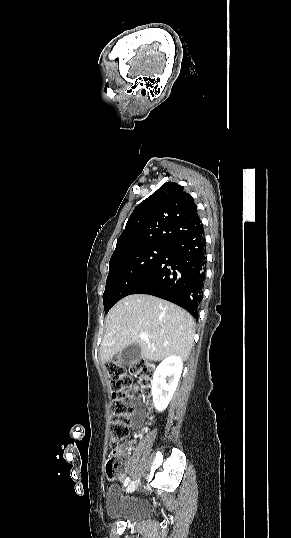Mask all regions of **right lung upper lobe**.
I'll use <instances>...</instances> for the list:
<instances>
[{
	"label": "right lung upper lobe",
	"instance_id": "obj_1",
	"mask_svg": "<svg viewBox=\"0 0 291 538\" xmlns=\"http://www.w3.org/2000/svg\"><path fill=\"white\" fill-rule=\"evenodd\" d=\"M201 225L192 196L167 182L134 209L111 258L146 246H170Z\"/></svg>",
	"mask_w": 291,
	"mask_h": 538
}]
</instances>
